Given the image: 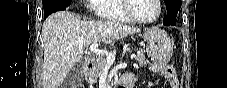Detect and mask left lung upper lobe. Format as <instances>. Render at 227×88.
I'll use <instances>...</instances> for the list:
<instances>
[{
    "instance_id": "obj_1",
    "label": "left lung upper lobe",
    "mask_w": 227,
    "mask_h": 88,
    "mask_svg": "<svg viewBox=\"0 0 227 88\" xmlns=\"http://www.w3.org/2000/svg\"><path fill=\"white\" fill-rule=\"evenodd\" d=\"M167 11L178 12L181 8V0H164Z\"/></svg>"
}]
</instances>
